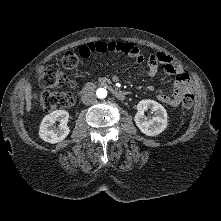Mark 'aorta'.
<instances>
[{"label":"aorta","mask_w":221,"mask_h":221,"mask_svg":"<svg viewBox=\"0 0 221 221\" xmlns=\"http://www.w3.org/2000/svg\"><path fill=\"white\" fill-rule=\"evenodd\" d=\"M96 95H97L98 98L104 99L107 96V91L104 88H99L96 91Z\"/></svg>","instance_id":"762f6f07"}]
</instances>
